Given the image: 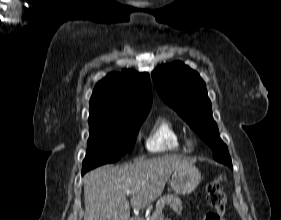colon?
<instances>
[{
  "label": "colon",
  "instance_id": "1",
  "mask_svg": "<svg viewBox=\"0 0 281 220\" xmlns=\"http://www.w3.org/2000/svg\"><path fill=\"white\" fill-rule=\"evenodd\" d=\"M225 177L218 176L207 185V202L212 208L203 220H226V204L227 198L224 191Z\"/></svg>",
  "mask_w": 281,
  "mask_h": 220
}]
</instances>
